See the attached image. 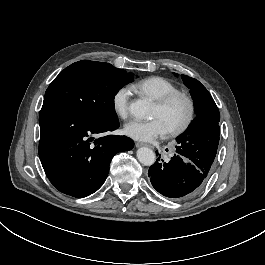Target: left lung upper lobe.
I'll list each match as a JSON object with an SVG mask.
<instances>
[{
	"label": "left lung upper lobe",
	"instance_id": "left-lung-upper-lobe-1",
	"mask_svg": "<svg viewBox=\"0 0 265 265\" xmlns=\"http://www.w3.org/2000/svg\"><path fill=\"white\" fill-rule=\"evenodd\" d=\"M177 75V74H176ZM190 89L197 116L177 137L176 152L185 158L213 167L219 144V110L207 89L196 79L181 75Z\"/></svg>",
	"mask_w": 265,
	"mask_h": 265
}]
</instances>
